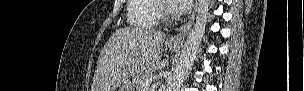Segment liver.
I'll use <instances>...</instances> for the list:
<instances>
[{
    "label": "liver",
    "mask_w": 304,
    "mask_h": 91,
    "mask_svg": "<svg viewBox=\"0 0 304 91\" xmlns=\"http://www.w3.org/2000/svg\"><path fill=\"white\" fill-rule=\"evenodd\" d=\"M166 35L147 28L116 30L100 52L92 91H115L130 76L165 66L162 45Z\"/></svg>",
    "instance_id": "liver-1"
}]
</instances>
